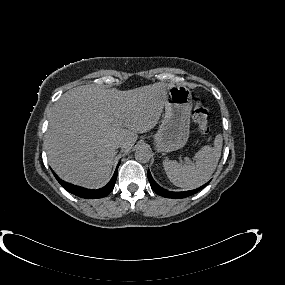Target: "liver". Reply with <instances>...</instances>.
I'll list each match as a JSON object with an SVG mask.
<instances>
[{
    "mask_svg": "<svg viewBox=\"0 0 285 285\" xmlns=\"http://www.w3.org/2000/svg\"><path fill=\"white\" fill-rule=\"evenodd\" d=\"M172 84L157 82L131 90L82 85L64 93L49 115L45 147L51 168L63 180L87 188L104 186L116 143L129 151L137 133L158 123Z\"/></svg>",
    "mask_w": 285,
    "mask_h": 285,
    "instance_id": "obj_1",
    "label": "liver"
}]
</instances>
